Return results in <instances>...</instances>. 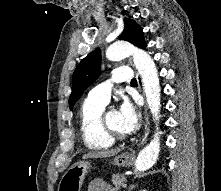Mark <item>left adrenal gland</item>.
<instances>
[{
  "label": "left adrenal gland",
  "instance_id": "a2214340",
  "mask_svg": "<svg viewBox=\"0 0 221 191\" xmlns=\"http://www.w3.org/2000/svg\"><path fill=\"white\" fill-rule=\"evenodd\" d=\"M135 187V185L134 184H131L130 186H129V188H128V191H132V189Z\"/></svg>",
  "mask_w": 221,
  "mask_h": 191
}]
</instances>
